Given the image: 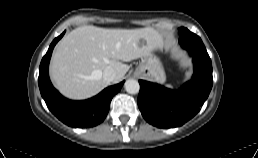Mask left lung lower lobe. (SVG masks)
Returning <instances> with one entry per match:
<instances>
[{
	"label": "left lung lower lobe",
	"instance_id": "obj_1",
	"mask_svg": "<svg viewBox=\"0 0 258 158\" xmlns=\"http://www.w3.org/2000/svg\"><path fill=\"white\" fill-rule=\"evenodd\" d=\"M180 45L193 57L194 74L178 90L139 80L138 107L144 119L160 128L183 125L195 116L209 96L213 84L211 59L199 36L186 31Z\"/></svg>",
	"mask_w": 258,
	"mask_h": 158
}]
</instances>
